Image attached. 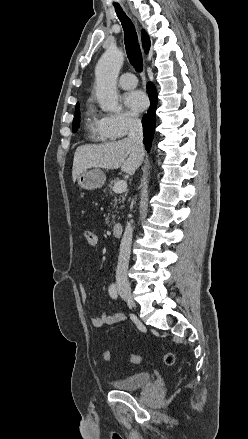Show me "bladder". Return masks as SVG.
I'll list each match as a JSON object with an SVG mask.
<instances>
[{
  "mask_svg": "<svg viewBox=\"0 0 248 439\" xmlns=\"http://www.w3.org/2000/svg\"><path fill=\"white\" fill-rule=\"evenodd\" d=\"M151 376L148 372H137L120 379L113 380L112 386L121 391H134L150 385Z\"/></svg>",
  "mask_w": 248,
  "mask_h": 439,
  "instance_id": "obj_1",
  "label": "bladder"
}]
</instances>
